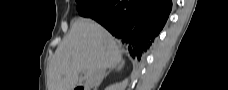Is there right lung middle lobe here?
I'll list each match as a JSON object with an SVG mask.
<instances>
[{"label":"right lung middle lobe","instance_id":"dd1d6c3e","mask_svg":"<svg viewBox=\"0 0 228 90\" xmlns=\"http://www.w3.org/2000/svg\"><path fill=\"white\" fill-rule=\"evenodd\" d=\"M77 10L84 17H94L107 5V0H76Z\"/></svg>","mask_w":228,"mask_h":90}]
</instances>
